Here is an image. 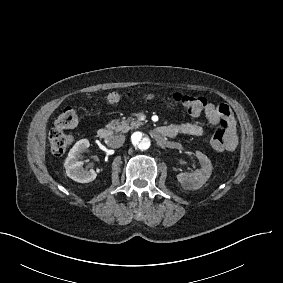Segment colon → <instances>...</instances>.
Listing matches in <instances>:
<instances>
[{
  "label": "colon",
  "mask_w": 283,
  "mask_h": 283,
  "mask_svg": "<svg viewBox=\"0 0 283 283\" xmlns=\"http://www.w3.org/2000/svg\"><path fill=\"white\" fill-rule=\"evenodd\" d=\"M132 94H126V99H131ZM155 95H145V99H152ZM119 94H112L108 98V102L115 103L120 100ZM162 100L171 99L175 103L182 106L186 114L191 116L199 115L206 107L207 99L199 95H189L176 93L170 97L168 95H161ZM78 124V115L74 108L66 107L61 111L57 120L56 128L52 129L49 133V148L53 154L60 155L65 153L72 145L71 136L65 131L67 128H73ZM228 126L227 120H220L219 126L211 137L210 143L214 151L221 152L225 149L224 132Z\"/></svg>",
  "instance_id": "colon-1"
}]
</instances>
